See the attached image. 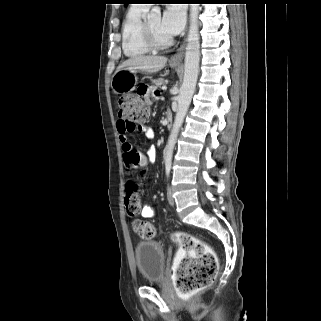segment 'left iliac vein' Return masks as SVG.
<instances>
[{"label":"left iliac vein","instance_id":"left-iliac-vein-1","mask_svg":"<svg viewBox=\"0 0 321 321\" xmlns=\"http://www.w3.org/2000/svg\"><path fill=\"white\" fill-rule=\"evenodd\" d=\"M167 199H168L169 204L171 206H174L175 200H174L172 189L170 186H168V188H167Z\"/></svg>","mask_w":321,"mask_h":321}]
</instances>
